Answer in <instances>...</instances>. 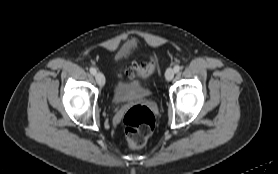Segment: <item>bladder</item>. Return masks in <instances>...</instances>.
I'll return each instance as SVG.
<instances>
[{"label":"bladder","mask_w":278,"mask_h":174,"mask_svg":"<svg viewBox=\"0 0 278 174\" xmlns=\"http://www.w3.org/2000/svg\"><path fill=\"white\" fill-rule=\"evenodd\" d=\"M125 55V51H121L116 60L119 61ZM150 91L140 80L130 82L119 80L113 87V98L116 102H127L135 99L145 98Z\"/></svg>","instance_id":"obj_1"}]
</instances>
